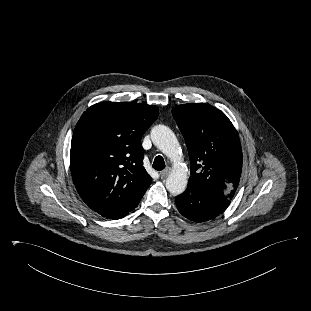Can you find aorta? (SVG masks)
<instances>
[{"label": "aorta", "mask_w": 311, "mask_h": 311, "mask_svg": "<svg viewBox=\"0 0 311 311\" xmlns=\"http://www.w3.org/2000/svg\"><path fill=\"white\" fill-rule=\"evenodd\" d=\"M153 144L174 162L180 159L179 143L173 131L165 125H156L151 130ZM188 177L186 170L182 167H174L166 179L167 190L179 195L187 187Z\"/></svg>", "instance_id": "762f6f07"}]
</instances>
